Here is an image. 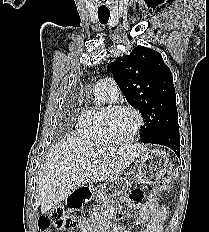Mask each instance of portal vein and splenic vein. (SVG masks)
Masks as SVG:
<instances>
[{
	"label": "portal vein and splenic vein",
	"mask_w": 209,
	"mask_h": 232,
	"mask_svg": "<svg viewBox=\"0 0 209 232\" xmlns=\"http://www.w3.org/2000/svg\"><path fill=\"white\" fill-rule=\"evenodd\" d=\"M94 166H96L97 164H98V161H93V163H92Z\"/></svg>",
	"instance_id": "18ae733b"
}]
</instances>
